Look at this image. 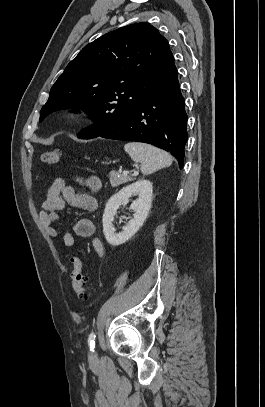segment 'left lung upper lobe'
I'll list each match as a JSON object with an SVG mask.
<instances>
[{
	"label": "left lung upper lobe",
	"instance_id": "5c2ea615",
	"mask_svg": "<svg viewBox=\"0 0 265 407\" xmlns=\"http://www.w3.org/2000/svg\"><path fill=\"white\" fill-rule=\"evenodd\" d=\"M177 74L168 41L149 23L131 24L86 45L52 86L40 112L68 108L95 122L78 134L91 139L112 129Z\"/></svg>",
	"mask_w": 265,
	"mask_h": 407
}]
</instances>
